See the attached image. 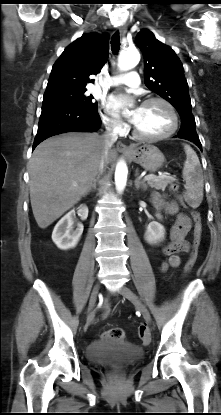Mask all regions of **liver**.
I'll use <instances>...</instances> for the list:
<instances>
[{
	"label": "liver",
	"instance_id": "liver-1",
	"mask_svg": "<svg viewBox=\"0 0 221 415\" xmlns=\"http://www.w3.org/2000/svg\"><path fill=\"white\" fill-rule=\"evenodd\" d=\"M116 156L110 149L107 163ZM101 159L102 140L97 133H65L36 147L29 161V187L33 215L40 228H47L89 193Z\"/></svg>",
	"mask_w": 221,
	"mask_h": 415
}]
</instances>
